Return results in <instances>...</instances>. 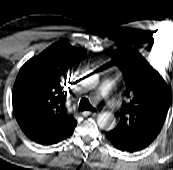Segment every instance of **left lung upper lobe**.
I'll use <instances>...</instances> for the list:
<instances>
[{
  "mask_svg": "<svg viewBox=\"0 0 173 170\" xmlns=\"http://www.w3.org/2000/svg\"><path fill=\"white\" fill-rule=\"evenodd\" d=\"M111 58L123 73L127 102L121 107L119 124L107 134L129 149H144L162 129L170 105V89L135 48L120 47Z\"/></svg>",
  "mask_w": 173,
  "mask_h": 170,
  "instance_id": "5c2ea615",
  "label": "left lung upper lobe"
}]
</instances>
